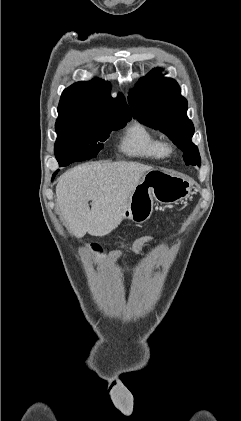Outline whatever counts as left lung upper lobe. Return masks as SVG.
<instances>
[{"mask_svg": "<svg viewBox=\"0 0 241 421\" xmlns=\"http://www.w3.org/2000/svg\"><path fill=\"white\" fill-rule=\"evenodd\" d=\"M160 73L161 69L152 70L128 93L133 116L144 125L165 133L184 152L186 165L199 166V151L191 141L194 126L186 116L187 100L181 96L177 82Z\"/></svg>", "mask_w": 241, "mask_h": 421, "instance_id": "left-lung-upper-lobe-1", "label": "left lung upper lobe"}]
</instances>
